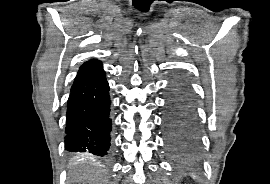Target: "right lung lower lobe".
<instances>
[{
    "label": "right lung lower lobe",
    "instance_id": "right-lung-lower-lobe-1",
    "mask_svg": "<svg viewBox=\"0 0 270 184\" xmlns=\"http://www.w3.org/2000/svg\"><path fill=\"white\" fill-rule=\"evenodd\" d=\"M109 86L96 59L79 69L67 103L65 149L90 157H107L111 140Z\"/></svg>",
    "mask_w": 270,
    "mask_h": 184
}]
</instances>
